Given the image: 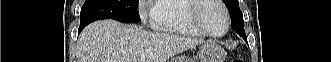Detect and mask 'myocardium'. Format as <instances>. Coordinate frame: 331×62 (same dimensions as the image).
I'll return each instance as SVG.
<instances>
[{
	"instance_id": "1",
	"label": "myocardium",
	"mask_w": 331,
	"mask_h": 62,
	"mask_svg": "<svg viewBox=\"0 0 331 62\" xmlns=\"http://www.w3.org/2000/svg\"><path fill=\"white\" fill-rule=\"evenodd\" d=\"M212 2L217 4L224 16L225 20V28L223 32L219 34H214L209 32L202 24L199 18V11L203 8L207 3ZM188 20L190 24L202 35L211 37V38H221L227 34L230 27V17L227 8L224 3L220 0H190L189 8H188Z\"/></svg>"
}]
</instances>
